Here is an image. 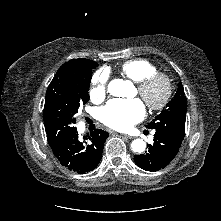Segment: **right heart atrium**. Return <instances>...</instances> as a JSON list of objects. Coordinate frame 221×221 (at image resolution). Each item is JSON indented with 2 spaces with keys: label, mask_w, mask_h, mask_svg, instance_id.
Segmentation results:
<instances>
[{
  "label": "right heart atrium",
  "mask_w": 221,
  "mask_h": 221,
  "mask_svg": "<svg viewBox=\"0 0 221 221\" xmlns=\"http://www.w3.org/2000/svg\"><path fill=\"white\" fill-rule=\"evenodd\" d=\"M108 74L105 71H98L93 76L90 96L94 100H102L107 93Z\"/></svg>",
  "instance_id": "obj_1"
}]
</instances>
